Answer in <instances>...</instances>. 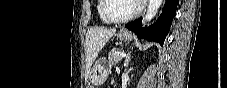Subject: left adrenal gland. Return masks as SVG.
Returning a JSON list of instances; mask_svg holds the SVG:
<instances>
[{
    "label": "left adrenal gland",
    "mask_w": 227,
    "mask_h": 88,
    "mask_svg": "<svg viewBox=\"0 0 227 88\" xmlns=\"http://www.w3.org/2000/svg\"><path fill=\"white\" fill-rule=\"evenodd\" d=\"M130 57H131V54L130 52L127 54L126 58H125V61H124V66L125 67H128L129 65V62H130Z\"/></svg>",
    "instance_id": "obj_1"
}]
</instances>
